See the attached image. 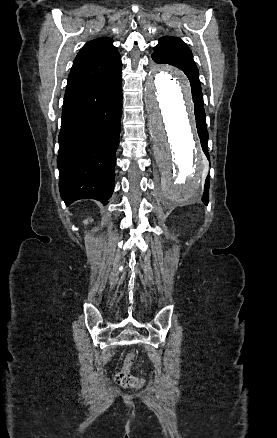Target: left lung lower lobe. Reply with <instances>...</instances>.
<instances>
[{
    "mask_svg": "<svg viewBox=\"0 0 277 438\" xmlns=\"http://www.w3.org/2000/svg\"><path fill=\"white\" fill-rule=\"evenodd\" d=\"M195 119H196V126H197V131L200 138L202 149L205 155L207 156V158H209L208 149H207L208 133L206 128L205 112L204 113L195 112ZM208 190H209V180L207 178L205 183L204 195H203V202L205 204H208Z\"/></svg>",
    "mask_w": 277,
    "mask_h": 438,
    "instance_id": "1",
    "label": "left lung lower lobe"
}]
</instances>
